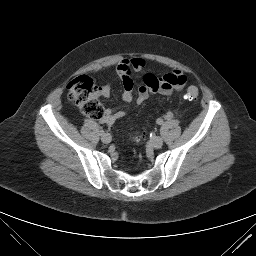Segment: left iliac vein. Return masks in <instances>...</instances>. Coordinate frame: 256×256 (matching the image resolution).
Wrapping results in <instances>:
<instances>
[{
    "instance_id": "4c4485c4",
    "label": "left iliac vein",
    "mask_w": 256,
    "mask_h": 256,
    "mask_svg": "<svg viewBox=\"0 0 256 256\" xmlns=\"http://www.w3.org/2000/svg\"><path fill=\"white\" fill-rule=\"evenodd\" d=\"M150 144L153 148H156V149L161 148L163 145V139L159 136L153 137L150 140Z\"/></svg>"
}]
</instances>
